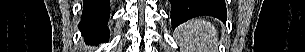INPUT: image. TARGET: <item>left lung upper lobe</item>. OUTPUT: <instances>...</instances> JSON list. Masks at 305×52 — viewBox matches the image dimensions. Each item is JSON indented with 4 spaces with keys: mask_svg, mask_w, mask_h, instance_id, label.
I'll return each mask as SVG.
<instances>
[{
    "mask_svg": "<svg viewBox=\"0 0 305 52\" xmlns=\"http://www.w3.org/2000/svg\"><path fill=\"white\" fill-rule=\"evenodd\" d=\"M201 15H205L200 9H189L186 10L184 12H181L177 18H176V22L178 24H181L185 21H187L190 18L196 17V16H201Z\"/></svg>",
    "mask_w": 305,
    "mask_h": 52,
    "instance_id": "1",
    "label": "left lung upper lobe"
}]
</instances>
